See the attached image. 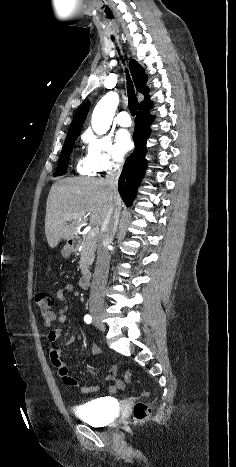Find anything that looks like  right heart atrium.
Segmentation results:
<instances>
[{"instance_id": "1", "label": "right heart atrium", "mask_w": 236, "mask_h": 467, "mask_svg": "<svg viewBox=\"0 0 236 467\" xmlns=\"http://www.w3.org/2000/svg\"><path fill=\"white\" fill-rule=\"evenodd\" d=\"M86 144L87 166L94 172H107L118 168L122 157L108 136L86 133L83 136Z\"/></svg>"}]
</instances>
